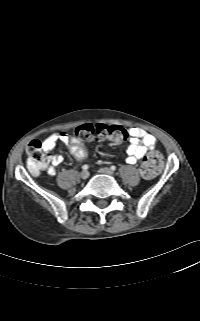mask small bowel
Masks as SVG:
<instances>
[{
  "mask_svg": "<svg viewBox=\"0 0 200 321\" xmlns=\"http://www.w3.org/2000/svg\"><path fill=\"white\" fill-rule=\"evenodd\" d=\"M130 140L127 147L128 164H135L138 160L144 157L149 149L154 148L157 143V139L154 135L146 131L141 127H131L128 131ZM57 142H62L70 148L74 143H80L78 140L70 137L65 132L53 133L48 136L43 142V148L46 152L51 151L56 146ZM50 165L47 167V173L50 176L56 174V167L63 162V157L59 154H53L49 156Z\"/></svg>",
  "mask_w": 200,
  "mask_h": 321,
  "instance_id": "obj_1",
  "label": "small bowel"
}]
</instances>
